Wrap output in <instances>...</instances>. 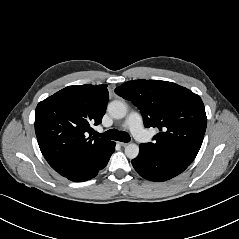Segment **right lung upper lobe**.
Wrapping results in <instances>:
<instances>
[{"label":"right lung upper lobe","instance_id":"right-lung-upper-lobe-1","mask_svg":"<svg viewBox=\"0 0 239 239\" xmlns=\"http://www.w3.org/2000/svg\"><path fill=\"white\" fill-rule=\"evenodd\" d=\"M107 85L68 86L41 101L36 108L35 133L40 150L59 174L70 166L93 162L109 140L91 137L108 102Z\"/></svg>","mask_w":239,"mask_h":239}]
</instances>
